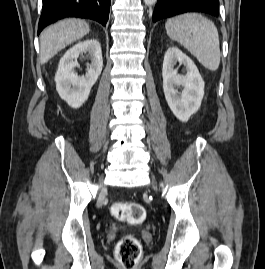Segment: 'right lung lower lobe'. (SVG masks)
<instances>
[{
  "mask_svg": "<svg viewBox=\"0 0 265 269\" xmlns=\"http://www.w3.org/2000/svg\"><path fill=\"white\" fill-rule=\"evenodd\" d=\"M111 0H43L38 34L47 25L65 17L87 18L106 25Z\"/></svg>",
  "mask_w": 265,
  "mask_h": 269,
  "instance_id": "1",
  "label": "right lung lower lobe"
}]
</instances>
